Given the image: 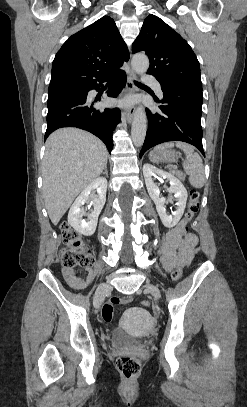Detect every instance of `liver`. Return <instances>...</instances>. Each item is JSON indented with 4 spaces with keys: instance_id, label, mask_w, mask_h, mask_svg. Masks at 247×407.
<instances>
[{
    "instance_id": "6515ba94",
    "label": "liver",
    "mask_w": 247,
    "mask_h": 407,
    "mask_svg": "<svg viewBox=\"0 0 247 407\" xmlns=\"http://www.w3.org/2000/svg\"><path fill=\"white\" fill-rule=\"evenodd\" d=\"M45 146L43 197L57 225L77 195L106 168L108 151L97 137L77 128L58 129Z\"/></svg>"
}]
</instances>
